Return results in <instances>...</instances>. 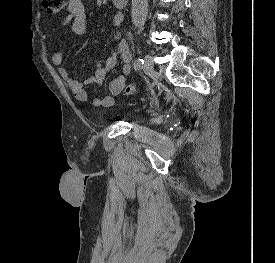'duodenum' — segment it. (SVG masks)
I'll use <instances>...</instances> for the list:
<instances>
[{
  "label": "duodenum",
  "mask_w": 275,
  "mask_h": 263,
  "mask_svg": "<svg viewBox=\"0 0 275 263\" xmlns=\"http://www.w3.org/2000/svg\"><path fill=\"white\" fill-rule=\"evenodd\" d=\"M112 2L116 7L122 8L127 5L128 0H112Z\"/></svg>",
  "instance_id": "duodenum-1"
}]
</instances>
